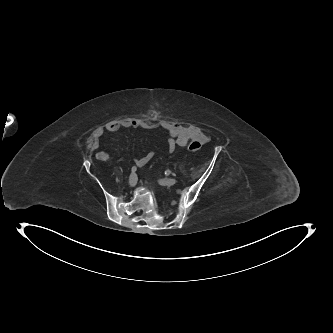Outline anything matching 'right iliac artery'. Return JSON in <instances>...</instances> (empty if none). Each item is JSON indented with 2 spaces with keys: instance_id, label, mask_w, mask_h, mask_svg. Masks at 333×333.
<instances>
[{
  "instance_id": "1",
  "label": "right iliac artery",
  "mask_w": 333,
  "mask_h": 333,
  "mask_svg": "<svg viewBox=\"0 0 333 333\" xmlns=\"http://www.w3.org/2000/svg\"><path fill=\"white\" fill-rule=\"evenodd\" d=\"M136 170H137L136 166H133L132 169H131L132 173H135Z\"/></svg>"
}]
</instances>
